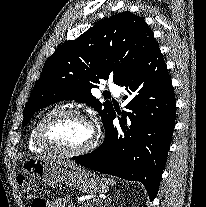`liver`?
I'll list each match as a JSON object with an SVG mask.
<instances>
[{
  "instance_id": "obj_1",
  "label": "liver",
  "mask_w": 206,
  "mask_h": 207,
  "mask_svg": "<svg viewBox=\"0 0 206 207\" xmlns=\"http://www.w3.org/2000/svg\"><path fill=\"white\" fill-rule=\"evenodd\" d=\"M42 159H51V160H57L55 157H49V156H44V157H41ZM64 166H67V167H78L75 163L73 162H69V161H60Z\"/></svg>"
}]
</instances>
